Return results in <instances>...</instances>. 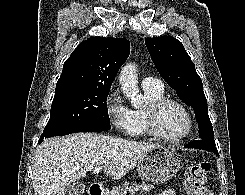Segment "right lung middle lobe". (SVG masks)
<instances>
[{"label":"right lung middle lobe","instance_id":"1","mask_svg":"<svg viewBox=\"0 0 245 195\" xmlns=\"http://www.w3.org/2000/svg\"><path fill=\"white\" fill-rule=\"evenodd\" d=\"M109 90L73 89L55 92L50 119L40 140L57 136L76 126L101 121L110 123L106 104Z\"/></svg>","mask_w":245,"mask_h":195}]
</instances>
